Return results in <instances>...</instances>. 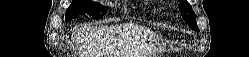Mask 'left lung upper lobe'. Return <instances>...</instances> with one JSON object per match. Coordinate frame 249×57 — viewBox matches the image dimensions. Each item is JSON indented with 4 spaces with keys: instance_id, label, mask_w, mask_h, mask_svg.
Segmentation results:
<instances>
[{
    "instance_id": "1",
    "label": "left lung upper lobe",
    "mask_w": 249,
    "mask_h": 57,
    "mask_svg": "<svg viewBox=\"0 0 249 57\" xmlns=\"http://www.w3.org/2000/svg\"><path fill=\"white\" fill-rule=\"evenodd\" d=\"M179 6L181 8V12L184 13V21L194 30H198L196 25V15L193 12L190 4L186 0H180Z\"/></svg>"
}]
</instances>
